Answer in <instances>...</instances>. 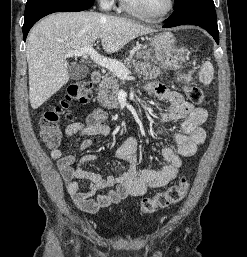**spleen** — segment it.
Listing matches in <instances>:
<instances>
[{
  "instance_id": "3e777b00",
  "label": "spleen",
  "mask_w": 247,
  "mask_h": 257,
  "mask_svg": "<svg viewBox=\"0 0 247 257\" xmlns=\"http://www.w3.org/2000/svg\"><path fill=\"white\" fill-rule=\"evenodd\" d=\"M213 75H214V69L212 64L209 61L203 63L199 74L200 81L203 84L208 85L212 82Z\"/></svg>"
}]
</instances>
